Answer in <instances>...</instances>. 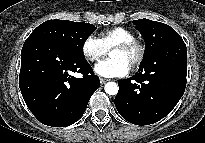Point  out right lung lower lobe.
I'll return each mask as SVG.
<instances>
[{"mask_svg": "<svg viewBox=\"0 0 205 143\" xmlns=\"http://www.w3.org/2000/svg\"><path fill=\"white\" fill-rule=\"evenodd\" d=\"M19 87L41 123L66 127L81 118L100 80L84 57L47 38L29 36L21 51Z\"/></svg>", "mask_w": 205, "mask_h": 143, "instance_id": "obj_1", "label": "right lung lower lobe"}]
</instances>
